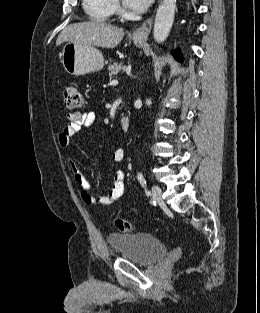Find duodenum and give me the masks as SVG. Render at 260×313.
I'll return each mask as SVG.
<instances>
[{
  "instance_id": "1",
  "label": "duodenum",
  "mask_w": 260,
  "mask_h": 313,
  "mask_svg": "<svg viewBox=\"0 0 260 313\" xmlns=\"http://www.w3.org/2000/svg\"><path fill=\"white\" fill-rule=\"evenodd\" d=\"M121 127L124 133H128L130 130V119L127 115L123 116L121 119Z\"/></svg>"
}]
</instances>
